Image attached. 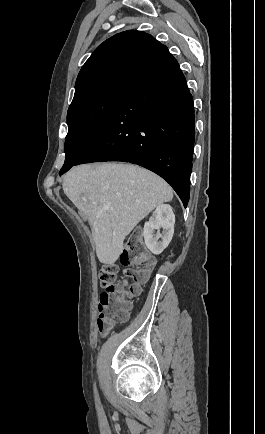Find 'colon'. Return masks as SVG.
Wrapping results in <instances>:
<instances>
[{
	"mask_svg": "<svg viewBox=\"0 0 265 434\" xmlns=\"http://www.w3.org/2000/svg\"><path fill=\"white\" fill-rule=\"evenodd\" d=\"M153 264V258L143 252L138 232L135 231L121 254V270L125 274L124 283L128 286L129 295L137 296L139 294L141 286L148 281ZM140 265L144 266L139 268ZM119 271L118 265L106 264L99 272L100 285L107 291L99 295V300L102 303L98 304L100 309L97 312L100 326L96 327V334L102 335V338L109 334V327H119L120 322H126L128 319L125 313L128 307L127 302L117 299L112 301L110 306L113 295L124 289V284L119 285L117 282ZM106 309H108L107 312Z\"/></svg>",
	"mask_w": 265,
	"mask_h": 434,
	"instance_id": "1",
	"label": "colon"
}]
</instances>
